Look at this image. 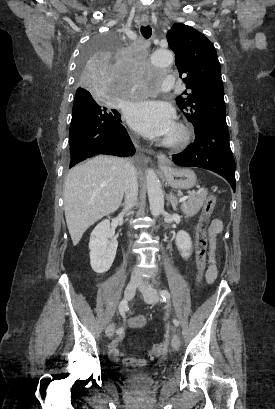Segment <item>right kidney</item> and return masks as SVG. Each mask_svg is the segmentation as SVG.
<instances>
[{
  "instance_id": "obj_1",
  "label": "right kidney",
  "mask_w": 275,
  "mask_h": 409,
  "mask_svg": "<svg viewBox=\"0 0 275 409\" xmlns=\"http://www.w3.org/2000/svg\"><path fill=\"white\" fill-rule=\"evenodd\" d=\"M115 229H111L110 221L104 219L90 237V265L95 273H107L115 257L118 241L114 239ZM110 239V241H109Z\"/></svg>"
}]
</instances>
